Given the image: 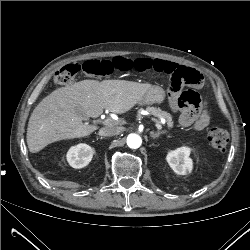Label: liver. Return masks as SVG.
<instances>
[{
    "mask_svg": "<svg viewBox=\"0 0 250 250\" xmlns=\"http://www.w3.org/2000/svg\"><path fill=\"white\" fill-rule=\"evenodd\" d=\"M153 86L126 80H83L58 88L33 110L27 128V145L37 153L47 145L90 135L97 129L83 117L97 118L106 109L123 114L131 110ZM83 111L79 115L76 109Z\"/></svg>",
    "mask_w": 250,
    "mask_h": 250,
    "instance_id": "liver-1",
    "label": "liver"
}]
</instances>
